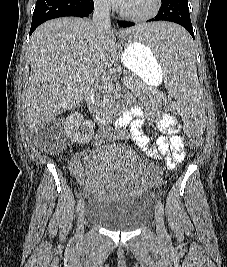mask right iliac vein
Segmentation results:
<instances>
[{"label":"right iliac vein","mask_w":227,"mask_h":267,"mask_svg":"<svg viewBox=\"0 0 227 267\" xmlns=\"http://www.w3.org/2000/svg\"><path fill=\"white\" fill-rule=\"evenodd\" d=\"M84 223H85V209L82 208L77 222L76 236L81 238L84 234Z\"/></svg>","instance_id":"1"}]
</instances>
